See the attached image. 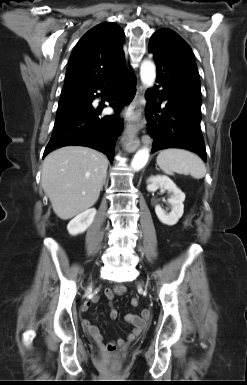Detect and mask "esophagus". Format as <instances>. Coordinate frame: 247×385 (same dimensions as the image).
<instances>
[{"label": "esophagus", "mask_w": 247, "mask_h": 385, "mask_svg": "<svg viewBox=\"0 0 247 385\" xmlns=\"http://www.w3.org/2000/svg\"><path fill=\"white\" fill-rule=\"evenodd\" d=\"M145 94V88L143 85H138L136 89V94L134 97V104H135V113L137 116H141L143 112V105L141 103L143 97ZM142 128V123L140 121V118L137 120L130 121L125 128L124 131V147L127 151L133 152L135 151L139 145L140 140L138 138V132Z\"/></svg>", "instance_id": "obj_1"}]
</instances>
